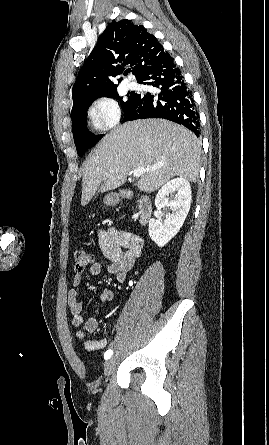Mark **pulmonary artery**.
<instances>
[{
	"mask_svg": "<svg viewBox=\"0 0 269 445\" xmlns=\"http://www.w3.org/2000/svg\"><path fill=\"white\" fill-rule=\"evenodd\" d=\"M127 86H128L129 88H134V87L136 86V83H135V82H128V83H127Z\"/></svg>",
	"mask_w": 269,
	"mask_h": 445,
	"instance_id": "e3ab8cb5",
	"label": "pulmonary artery"
}]
</instances>
